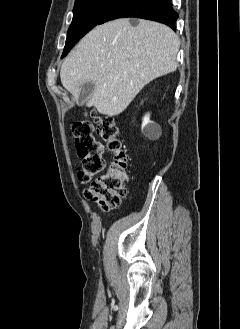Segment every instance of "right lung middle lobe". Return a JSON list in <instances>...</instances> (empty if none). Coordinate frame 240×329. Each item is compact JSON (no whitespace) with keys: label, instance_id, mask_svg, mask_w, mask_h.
Returning <instances> with one entry per match:
<instances>
[{"label":"right lung middle lobe","instance_id":"obj_1","mask_svg":"<svg viewBox=\"0 0 240 329\" xmlns=\"http://www.w3.org/2000/svg\"><path fill=\"white\" fill-rule=\"evenodd\" d=\"M121 0H76L62 58Z\"/></svg>","mask_w":240,"mask_h":329}]
</instances>
